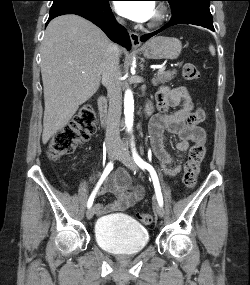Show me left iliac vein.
Segmentation results:
<instances>
[{"label": "left iliac vein", "mask_w": 250, "mask_h": 285, "mask_svg": "<svg viewBox=\"0 0 250 285\" xmlns=\"http://www.w3.org/2000/svg\"><path fill=\"white\" fill-rule=\"evenodd\" d=\"M116 158L121 161L125 166H127L129 169L136 171L138 169L136 162L134 161L133 157L130 155V153L125 149H120L116 153ZM156 213L159 215V217H164V209L160 204L156 205Z\"/></svg>", "instance_id": "obj_1"}]
</instances>
